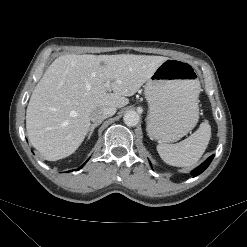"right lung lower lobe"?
I'll return each instance as SVG.
<instances>
[{"label": "right lung lower lobe", "instance_id": "98d812e1", "mask_svg": "<svg viewBox=\"0 0 247 247\" xmlns=\"http://www.w3.org/2000/svg\"><path fill=\"white\" fill-rule=\"evenodd\" d=\"M84 165V164H83ZM83 165L80 167V168H82L83 167ZM80 168H78L77 170H75V171H78Z\"/></svg>", "mask_w": 247, "mask_h": 247}]
</instances>
